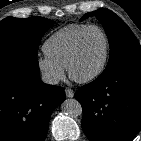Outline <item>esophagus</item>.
<instances>
[{
    "label": "esophagus",
    "mask_w": 141,
    "mask_h": 141,
    "mask_svg": "<svg viewBox=\"0 0 141 141\" xmlns=\"http://www.w3.org/2000/svg\"><path fill=\"white\" fill-rule=\"evenodd\" d=\"M65 94L68 98H72L74 96V91L71 88H66Z\"/></svg>",
    "instance_id": "1"
}]
</instances>
